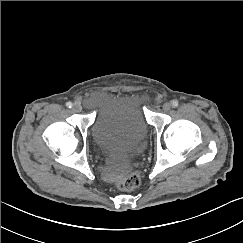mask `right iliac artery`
<instances>
[{
	"label": "right iliac artery",
	"mask_w": 243,
	"mask_h": 243,
	"mask_svg": "<svg viewBox=\"0 0 243 243\" xmlns=\"http://www.w3.org/2000/svg\"><path fill=\"white\" fill-rule=\"evenodd\" d=\"M66 106H67L68 108H72V107H73V104H72V102H67V103H66Z\"/></svg>",
	"instance_id": "right-iliac-artery-1"
}]
</instances>
